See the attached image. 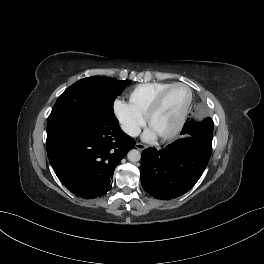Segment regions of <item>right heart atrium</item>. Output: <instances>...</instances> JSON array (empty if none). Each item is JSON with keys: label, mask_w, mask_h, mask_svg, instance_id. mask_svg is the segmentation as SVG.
I'll return each mask as SVG.
<instances>
[{"label": "right heart atrium", "mask_w": 264, "mask_h": 264, "mask_svg": "<svg viewBox=\"0 0 264 264\" xmlns=\"http://www.w3.org/2000/svg\"><path fill=\"white\" fill-rule=\"evenodd\" d=\"M113 109L122 130L129 136H136L144 123L143 117L122 100H116Z\"/></svg>", "instance_id": "d8ad5b80"}]
</instances>
